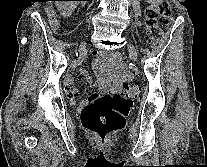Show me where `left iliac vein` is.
<instances>
[{"label": "left iliac vein", "mask_w": 207, "mask_h": 167, "mask_svg": "<svg viewBox=\"0 0 207 167\" xmlns=\"http://www.w3.org/2000/svg\"><path fill=\"white\" fill-rule=\"evenodd\" d=\"M128 50L130 52L132 59L136 61L138 58L136 48L132 44H128Z\"/></svg>", "instance_id": "4c4485c4"}]
</instances>
